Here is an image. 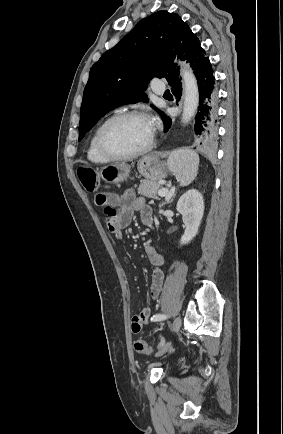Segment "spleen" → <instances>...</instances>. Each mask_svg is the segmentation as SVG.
Segmentation results:
<instances>
[{"mask_svg": "<svg viewBox=\"0 0 283 434\" xmlns=\"http://www.w3.org/2000/svg\"><path fill=\"white\" fill-rule=\"evenodd\" d=\"M167 165L180 185L187 186L197 176L199 156L192 150L179 149L170 154Z\"/></svg>", "mask_w": 283, "mask_h": 434, "instance_id": "obj_1", "label": "spleen"}]
</instances>
